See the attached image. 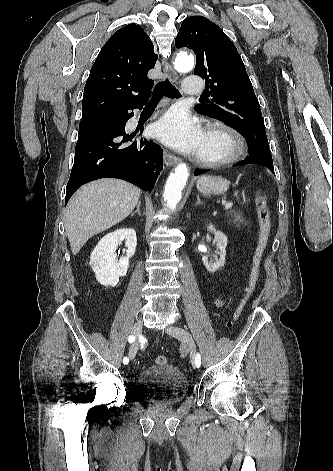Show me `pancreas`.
<instances>
[{
  "label": "pancreas",
  "mask_w": 333,
  "mask_h": 471,
  "mask_svg": "<svg viewBox=\"0 0 333 471\" xmlns=\"http://www.w3.org/2000/svg\"><path fill=\"white\" fill-rule=\"evenodd\" d=\"M230 216L237 225L245 222V219L240 212L231 211Z\"/></svg>",
  "instance_id": "cf45deb5"
}]
</instances>
